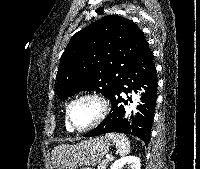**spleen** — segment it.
Returning a JSON list of instances; mask_svg holds the SVG:
<instances>
[{
  "mask_svg": "<svg viewBox=\"0 0 200 169\" xmlns=\"http://www.w3.org/2000/svg\"><path fill=\"white\" fill-rule=\"evenodd\" d=\"M106 137L115 143L117 152H119L121 156L129 154L130 141L125 135L118 133H108Z\"/></svg>",
  "mask_w": 200,
  "mask_h": 169,
  "instance_id": "obj_1",
  "label": "spleen"
}]
</instances>
